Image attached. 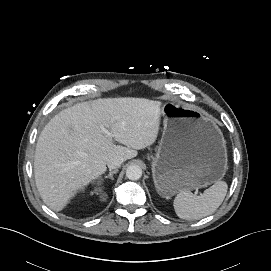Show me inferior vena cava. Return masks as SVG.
<instances>
[{
    "mask_svg": "<svg viewBox=\"0 0 271 271\" xmlns=\"http://www.w3.org/2000/svg\"><path fill=\"white\" fill-rule=\"evenodd\" d=\"M124 162V158L121 156H114L110 158L107 162V166L109 169H117Z\"/></svg>",
    "mask_w": 271,
    "mask_h": 271,
    "instance_id": "inferior-vena-cava-1",
    "label": "inferior vena cava"
}]
</instances>
